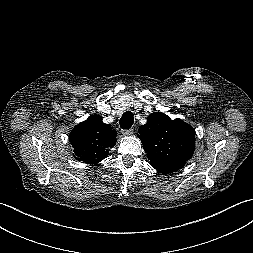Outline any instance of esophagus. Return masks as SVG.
I'll use <instances>...</instances> for the list:
<instances>
[{
	"label": "esophagus",
	"mask_w": 253,
	"mask_h": 253,
	"mask_svg": "<svg viewBox=\"0 0 253 253\" xmlns=\"http://www.w3.org/2000/svg\"><path fill=\"white\" fill-rule=\"evenodd\" d=\"M134 133L133 129H127V130H122V134L125 136H130Z\"/></svg>",
	"instance_id": "esophagus-1"
}]
</instances>
